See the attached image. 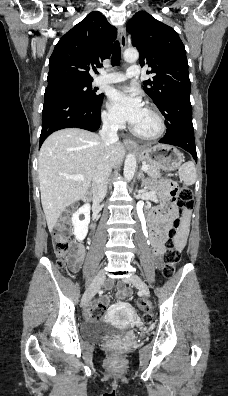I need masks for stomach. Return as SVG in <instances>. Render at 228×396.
Segmentation results:
<instances>
[{
	"mask_svg": "<svg viewBox=\"0 0 228 396\" xmlns=\"http://www.w3.org/2000/svg\"><path fill=\"white\" fill-rule=\"evenodd\" d=\"M138 156L150 165L167 171L176 170L184 161L183 155L177 148L166 144L141 148L138 151Z\"/></svg>",
	"mask_w": 228,
	"mask_h": 396,
	"instance_id": "1",
	"label": "stomach"
}]
</instances>
